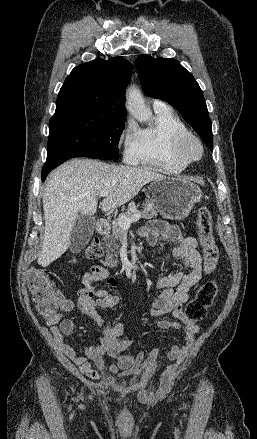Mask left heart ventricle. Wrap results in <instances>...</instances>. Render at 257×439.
<instances>
[{
  "instance_id": "b2bd125f",
  "label": "left heart ventricle",
  "mask_w": 257,
  "mask_h": 439,
  "mask_svg": "<svg viewBox=\"0 0 257 439\" xmlns=\"http://www.w3.org/2000/svg\"><path fill=\"white\" fill-rule=\"evenodd\" d=\"M189 151L194 156L198 155V148L195 145H193Z\"/></svg>"
}]
</instances>
